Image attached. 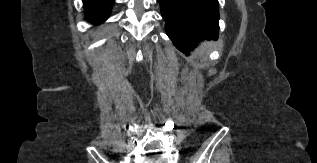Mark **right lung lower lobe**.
Returning <instances> with one entry per match:
<instances>
[{
	"label": "right lung lower lobe",
	"mask_w": 317,
	"mask_h": 163,
	"mask_svg": "<svg viewBox=\"0 0 317 163\" xmlns=\"http://www.w3.org/2000/svg\"><path fill=\"white\" fill-rule=\"evenodd\" d=\"M83 3L87 19L100 24L109 17L114 0H83Z\"/></svg>",
	"instance_id": "right-lung-lower-lobe-1"
}]
</instances>
